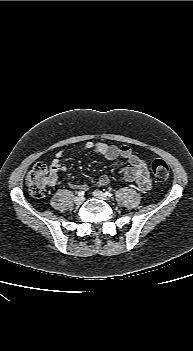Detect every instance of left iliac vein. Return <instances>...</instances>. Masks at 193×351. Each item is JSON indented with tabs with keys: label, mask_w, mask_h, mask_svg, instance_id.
<instances>
[{
	"label": "left iliac vein",
	"mask_w": 193,
	"mask_h": 351,
	"mask_svg": "<svg viewBox=\"0 0 193 351\" xmlns=\"http://www.w3.org/2000/svg\"><path fill=\"white\" fill-rule=\"evenodd\" d=\"M93 196L98 198V199H101V200H105V201L109 200V197L104 192H102L100 190H95L93 192Z\"/></svg>",
	"instance_id": "left-iliac-vein-1"
}]
</instances>
